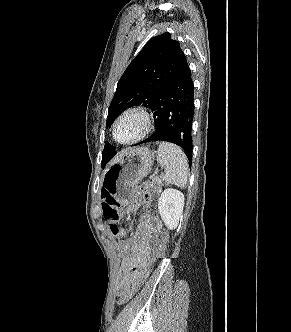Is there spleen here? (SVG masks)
<instances>
[{
	"mask_svg": "<svg viewBox=\"0 0 291 332\" xmlns=\"http://www.w3.org/2000/svg\"><path fill=\"white\" fill-rule=\"evenodd\" d=\"M157 162L165 168L164 180L184 188L188 181V159L183 150L172 143L161 142L157 150Z\"/></svg>",
	"mask_w": 291,
	"mask_h": 332,
	"instance_id": "obj_1",
	"label": "spleen"
}]
</instances>
